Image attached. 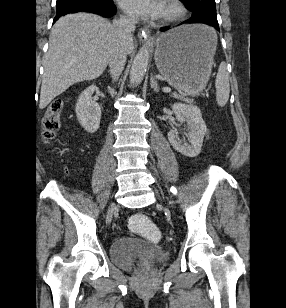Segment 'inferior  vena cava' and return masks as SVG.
I'll return each mask as SVG.
<instances>
[{
    "instance_id": "602c4592",
    "label": "inferior vena cava",
    "mask_w": 286,
    "mask_h": 308,
    "mask_svg": "<svg viewBox=\"0 0 286 308\" xmlns=\"http://www.w3.org/2000/svg\"><path fill=\"white\" fill-rule=\"evenodd\" d=\"M113 27L117 33V39L110 54L109 67L112 79L116 81L126 63L127 50L125 42L128 38L132 37V32L135 30V20L128 17H120V19L114 20Z\"/></svg>"
}]
</instances>
